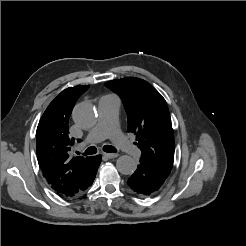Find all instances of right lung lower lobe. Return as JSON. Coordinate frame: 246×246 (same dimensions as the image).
<instances>
[{"instance_id": "1", "label": "right lung lower lobe", "mask_w": 246, "mask_h": 246, "mask_svg": "<svg viewBox=\"0 0 246 246\" xmlns=\"http://www.w3.org/2000/svg\"><path fill=\"white\" fill-rule=\"evenodd\" d=\"M100 162H101V155H97L93 157V161H92L93 166H92L91 172L84 179V181L79 185L74 196L81 195L89 186L92 185L95 179L98 167L100 165Z\"/></svg>"}]
</instances>
